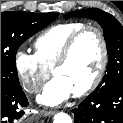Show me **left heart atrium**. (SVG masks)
I'll return each instance as SVG.
<instances>
[{
	"mask_svg": "<svg viewBox=\"0 0 123 123\" xmlns=\"http://www.w3.org/2000/svg\"><path fill=\"white\" fill-rule=\"evenodd\" d=\"M71 93L72 90L67 82L60 77H55L44 87L38 101L45 105L54 106L65 101Z\"/></svg>",
	"mask_w": 123,
	"mask_h": 123,
	"instance_id": "obj_1",
	"label": "left heart atrium"
}]
</instances>
